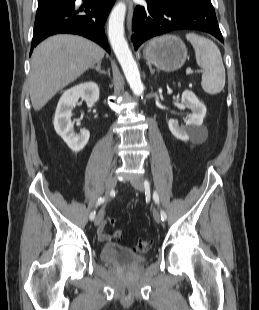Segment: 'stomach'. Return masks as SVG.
Masks as SVG:
<instances>
[{
  "label": "stomach",
  "instance_id": "0dacf381",
  "mask_svg": "<svg viewBox=\"0 0 259 310\" xmlns=\"http://www.w3.org/2000/svg\"><path fill=\"white\" fill-rule=\"evenodd\" d=\"M143 54L148 64L170 72L183 66L187 59V48L180 38L164 35L150 41Z\"/></svg>",
  "mask_w": 259,
  "mask_h": 310
}]
</instances>
